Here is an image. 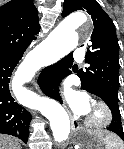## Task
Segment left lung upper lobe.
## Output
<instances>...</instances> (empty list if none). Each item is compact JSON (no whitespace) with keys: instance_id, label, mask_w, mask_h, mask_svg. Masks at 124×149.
Wrapping results in <instances>:
<instances>
[{"instance_id":"obj_1","label":"left lung upper lobe","mask_w":124,"mask_h":149,"mask_svg":"<svg viewBox=\"0 0 124 149\" xmlns=\"http://www.w3.org/2000/svg\"><path fill=\"white\" fill-rule=\"evenodd\" d=\"M76 10H86L94 24L89 39L91 46L85 56L90 66L77 73L81 86L109 95L121 118L118 106L119 44L113 21L95 0H64L63 17Z\"/></svg>"}]
</instances>
